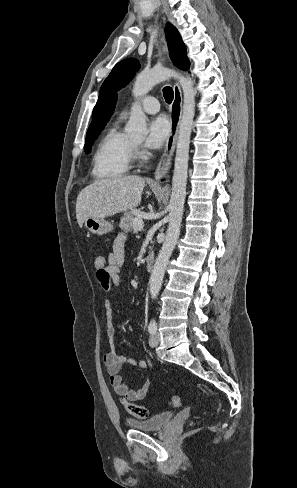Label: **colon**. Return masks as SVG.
<instances>
[{
    "mask_svg": "<svg viewBox=\"0 0 297 488\" xmlns=\"http://www.w3.org/2000/svg\"><path fill=\"white\" fill-rule=\"evenodd\" d=\"M95 267L97 270H103L106 265V257L104 256H97L94 261ZM125 409L134 417L138 419H146L148 417V410L140 405H136L130 403L128 401H123ZM181 405V398L179 396H175L171 400V406L179 407Z\"/></svg>",
    "mask_w": 297,
    "mask_h": 488,
    "instance_id": "colon-1",
    "label": "colon"
}]
</instances>
